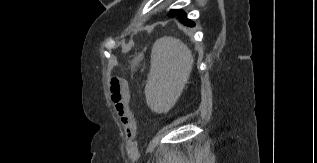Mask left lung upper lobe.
<instances>
[{
  "label": "left lung upper lobe",
  "instance_id": "obj_1",
  "mask_svg": "<svg viewBox=\"0 0 317 163\" xmlns=\"http://www.w3.org/2000/svg\"><path fill=\"white\" fill-rule=\"evenodd\" d=\"M178 11H179V10H177V9H173V10L170 11V14H171V15H175Z\"/></svg>",
  "mask_w": 317,
  "mask_h": 163
}]
</instances>
